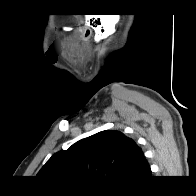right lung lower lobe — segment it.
I'll return each instance as SVG.
<instances>
[{
  "mask_svg": "<svg viewBox=\"0 0 196 196\" xmlns=\"http://www.w3.org/2000/svg\"><path fill=\"white\" fill-rule=\"evenodd\" d=\"M149 177H150V176H148V178H149ZM143 182H144V180H143L141 183H138V184H134V185H128V187L139 186V185H141Z\"/></svg>",
  "mask_w": 196,
  "mask_h": 196,
  "instance_id": "98d812e1",
  "label": "right lung lower lobe"
}]
</instances>
